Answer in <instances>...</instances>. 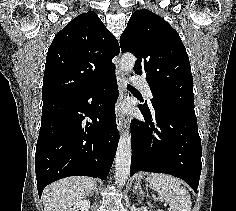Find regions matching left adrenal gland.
<instances>
[{"label": "left adrenal gland", "mask_w": 236, "mask_h": 211, "mask_svg": "<svg viewBox=\"0 0 236 211\" xmlns=\"http://www.w3.org/2000/svg\"><path fill=\"white\" fill-rule=\"evenodd\" d=\"M139 188L140 193H142L140 182L138 181L136 184H134L133 192L136 194L137 189Z\"/></svg>", "instance_id": "left-adrenal-gland-1"}]
</instances>
